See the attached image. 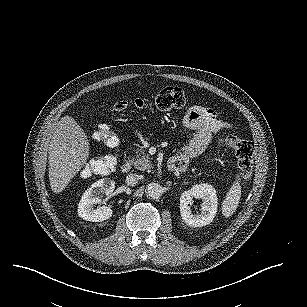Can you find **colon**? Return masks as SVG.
<instances>
[{
	"label": "colon",
	"instance_id": "obj_1",
	"mask_svg": "<svg viewBox=\"0 0 307 307\" xmlns=\"http://www.w3.org/2000/svg\"><path fill=\"white\" fill-rule=\"evenodd\" d=\"M186 104L184 91L176 86H168L161 89L155 96L154 102L149 103L144 99L137 98L132 101L120 100L116 102L117 110H124L129 106L138 109L155 106L159 110L167 111L178 109ZM93 138L112 149L119 145L117 133L106 125L99 126L94 132ZM222 147L230 148L234 151L237 158L238 172L242 179L247 180L251 177L253 169V145L251 142L240 139L237 136L229 135L220 140ZM117 166L115 155H100L89 160L82 169L84 176L92 174H106L114 170Z\"/></svg>",
	"mask_w": 307,
	"mask_h": 307
}]
</instances>
